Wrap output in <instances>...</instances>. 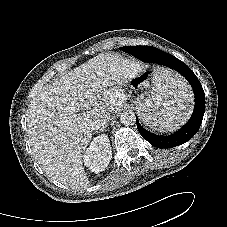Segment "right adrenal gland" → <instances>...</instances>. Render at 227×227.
I'll list each match as a JSON object with an SVG mask.
<instances>
[{
  "label": "right adrenal gland",
  "instance_id": "right-adrenal-gland-1",
  "mask_svg": "<svg viewBox=\"0 0 227 227\" xmlns=\"http://www.w3.org/2000/svg\"><path fill=\"white\" fill-rule=\"evenodd\" d=\"M106 127H107V125H105V126L103 127V129H101L100 131H102V132L106 131Z\"/></svg>",
  "mask_w": 227,
  "mask_h": 227
}]
</instances>
